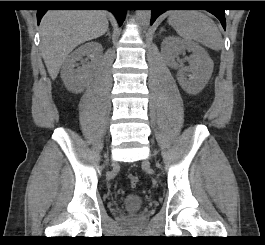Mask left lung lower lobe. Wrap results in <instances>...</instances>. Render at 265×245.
Returning a JSON list of instances; mask_svg holds the SVG:
<instances>
[{
  "instance_id": "obj_1",
  "label": "left lung lower lobe",
  "mask_w": 265,
  "mask_h": 245,
  "mask_svg": "<svg viewBox=\"0 0 265 245\" xmlns=\"http://www.w3.org/2000/svg\"><path fill=\"white\" fill-rule=\"evenodd\" d=\"M154 3L155 8L152 9L151 13V24H153L160 14L166 10H170L167 7H191L195 5L194 1H156ZM207 11L216 16L220 20L223 28L226 29L225 12L222 8H214Z\"/></svg>"
}]
</instances>
